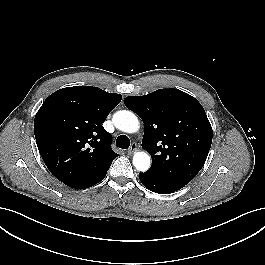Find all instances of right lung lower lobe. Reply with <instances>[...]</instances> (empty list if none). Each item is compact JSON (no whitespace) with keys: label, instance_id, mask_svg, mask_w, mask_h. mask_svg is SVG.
Here are the masks:
<instances>
[{"label":"right lung lower lobe","instance_id":"1","mask_svg":"<svg viewBox=\"0 0 265 265\" xmlns=\"http://www.w3.org/2000/svg\"><path fill=\"white\" fill-rule=\"evenodd\" d=\"M106 173H103L97 177H94V178H91V179H88L86 181H82V182H78V183H74V184H71V185H68L72 188H75V189H85V188H89L97 183H99L101 180L104 179V177L106 176Z\"/></svg>","mask_w":265,"mask_h":265}]
</instances>
